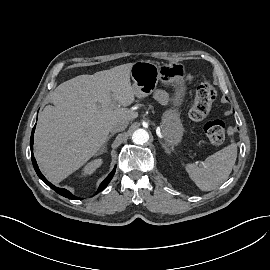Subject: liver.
Returning <instances> with one entry per match:
<instances>
[{
    "instance_id": "6515ba94",
    "label": "liver",
    "mask_w": 270,
    "mask_h": 270,
    "mask_svg": "<svg viewBox=\"0 0 270 270\" xmlns=\"http://www.w3.org/2000/svg\"><path fill=\"white\" fill-rule=\"evenodd\" d=\"M132 65L79 75L53 91L54 106L44 107L34 135V155L48 180L59 183L82 167L104 145L113 123L138 117L126 108L135 101ZM112 100L123 107L113 108Z\"/></svg>"
}]
</instances>
